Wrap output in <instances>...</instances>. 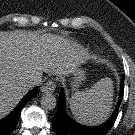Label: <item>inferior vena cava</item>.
<instances>
[{
    "label": "inferior vena cava",
    "mask_w": 135,
    "mask_h": 135,
    "mask_svg": "<svg viewBox=\"0 0 135 135\" xmlns=\"http://www.w3.org/2000/svg\"><path fill=\"white\" fill-rule=\"evenodd\" d=\"M36 85H38V81L36 79L30 78V79L27 80L26 86L28 88H32V87H34Z\"/></svg>",
    "instance_id": "1"
}]
</instances>
